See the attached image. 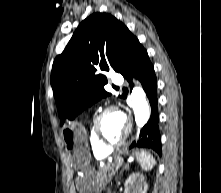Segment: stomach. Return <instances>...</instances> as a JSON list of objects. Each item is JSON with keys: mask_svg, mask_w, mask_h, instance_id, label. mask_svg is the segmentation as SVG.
Returning a JSON list of instances; mask_svg holds the SVG:
<instances>
[{"mask_svg": "<svg viewBox=\"0 0 221 193\" xmlns=\"http://www.w3.org/2000/svg\"><path fill=\"white\" fill-rule=\"evenodd\" d=\"M62 138L65 142V152H70L72 167H76L79 172V182H84L78 186L80 193H91L94 191V183L101 179V174H97L96 167L90 163V150H87V133L84 125L79 122L68 120L63 126Z\"/></svg>", "mask_w": 221, "mask_h": 193, "instance_id": "1", "label": "stomach"}]
</instances>
